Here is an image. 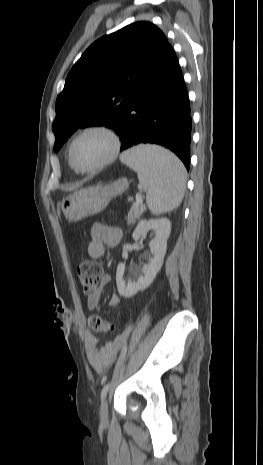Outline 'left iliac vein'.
<instances>
[{
    "label": "left iliac vein",
    "instance_id": "1",
    "mask_svg": "<svg viewBox=\"0 0 263 465\" xmlns=\"http://www.w3.org/2000/svg\"><path fill=\"white\" fill-rule=\"evenodd\" d=\"M100 418L102 422H107L108 420V401L107 398H104L101 407H100Z\"/></svg>",
    "mask_w": 263,
    "mask_h": 465
}]
</instances>
